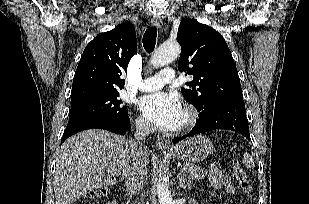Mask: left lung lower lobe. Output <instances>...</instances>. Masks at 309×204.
<instances>
[{"label":"left lung lower lobe","mask_w":309,"mask_h":204,"mask_svg":"<svg viewBox=\"0 0 309 204\" xmlns=\"http://www.w3.org/2000/svg\"><path fill=\"white\" fill-rule=\"evenodd\" d=\"M216 129L235 131L250 140L249 127L243 100H227L215 103L199 113L197 125L185 136L173 139L177 143L187 137Z\"/></svg>","instance_id":"obj_1"}]
</instances>
